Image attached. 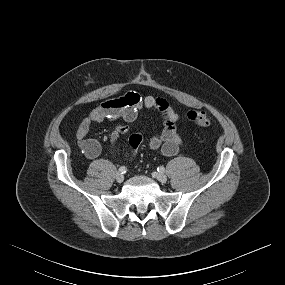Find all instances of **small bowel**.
<instances>
[{"label":"small bowel","mask_w":285,"mask_h":285,"mask_svg":"<svg viewBox=\"0 0 285 285\" xmlns=\"http://www.w3.org/2000/svg\"><path fill=\"white\" fill-rule=\"evenodd\" d=\"M143 108L158 110L164 117L163 126L158 133L150 138L149 147L153 150H159L165 156L175 155L182 145V139L177 129L178 114L171 104L164 98L140 95L134 91H128L118 98L102 102L81 120L76 132V138L78 146L85 157L94 159L101 151L100 144L96 140L86 138L93 123L105 120L116 122L123 120L124 123H116L110 134L112 145L119 149L120 135L129 131L128 124L136 121L139 111ZM141 142L142 136L140 134L131 135L127 156L133 155Z\"/></svg>","instance_id":"small-bowel-1"}]
</instances>
